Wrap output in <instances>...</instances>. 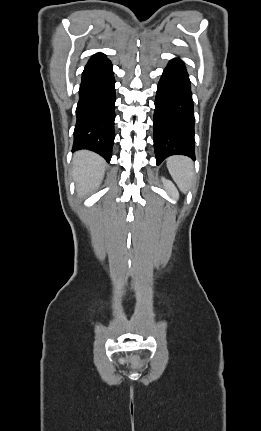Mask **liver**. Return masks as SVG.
I'll return each instance as SVG.
<instances>
[{
  "mask_svg": "<svg viewBox=\"0 0 261 431\" xmlns=\"http://www.w3.org/2000/svg\"><path fill=\"white\" fill-rule=\"evenodd\" d=\"M104 173L105 162L96 153L82 150L74 154L73 177L81 197L94 193L100 187Z\"/></svg>",
  "mask_w": 261,
  "mask_h": 431,
  "instance_id": "1",
  "label": "liver"
}]
</instances>
